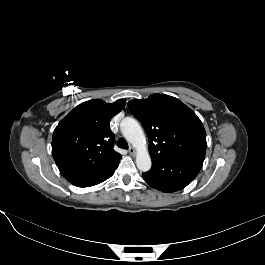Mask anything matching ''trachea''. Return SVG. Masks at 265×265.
<instances>
[{"mask_svg": "<svg viewBox=\"0 0 265 265\" xmlns=\"http://www.w3.org/2000/svg\"><path fill=\"white\" fill-rule=\"evenodd\" d=\"M117 145H118L119 148L128 149V143L123 138H120L118 140Z\"/></svg>", "mask_w": 265, "mask_h": 265, "instance_id": "3493384b", "label": "trachea"}]
</instances>
